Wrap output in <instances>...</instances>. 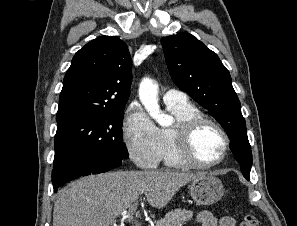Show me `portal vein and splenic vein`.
<instances>
[{"instance_id":"1","label":"portal vein and splenic vein","mask_w":297,"mask_h":226,"mask_svg":"<svg viewBox=\"0 0 297 226\" xmlns=\"http://www.w3.org/2000/svg\"><path fill=\"white\" fill-rule=\"evenodd\" d=\"M137 206H138V202L135 201L128 211H125L124 213H122L123 219H127L129 222L131 221L138 222L137 220L133 219V213L136 211Z\"/></svg>"}]
</instances>
